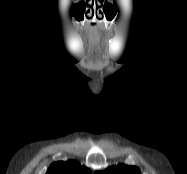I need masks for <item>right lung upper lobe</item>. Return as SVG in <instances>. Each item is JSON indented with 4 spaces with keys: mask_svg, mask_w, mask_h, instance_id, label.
Masks as SVG:
<instances>
[{
    "mask_svg": "<svg viewBox=\"0 0 187 174\" xmlns=\"http://www.w3.org/2000/svg\"><path fill=\"white\" fill-rule=\"evenodd\" d=\"M46 174H91V171L77 161L68 160L53 163Z\"/></svg>",
    "mask_w": 187,
    "mask_h": 174,
    "instance_id": "1",
    "label": "right lung upper lobe"
}]
</instances>
